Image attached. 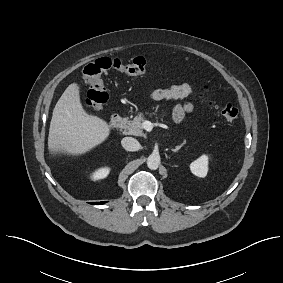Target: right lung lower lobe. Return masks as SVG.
<instances>
[{
    "mask_svg": "<svg viewBox=\"0 0 283 283\" xmlns=\"http://www.w3.org/2000/svg\"><path fill=\"white\" fill-rule=\"evenodd\" d=\"M105 202H94L93 204L99 205V204H103Z\"/></svg>",
    "mask_w": 283,
    "mask_h": 283,
    "instance_id": "right-lung-lower-lobe-1",
    "label": "right lung lower lobe"
}]
</instances>
